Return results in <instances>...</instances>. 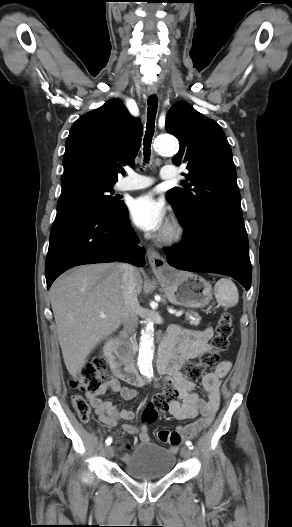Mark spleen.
<instances>
[{"label":"spleen","instance_id":"obj_1","mask_svg":"<svg viewBox=\"0 0 292 527\" xmlns=\"http://www.w3.org/2000/svg\"><path fill=\"white\" fill-rule=\"evenodd\" d=\"M214 292L217 302L223 306L232 307L238 303V290L230 279H220L214 287Z\"/></svg>","mask_w":292,"mask_h":527}]
</instances>
